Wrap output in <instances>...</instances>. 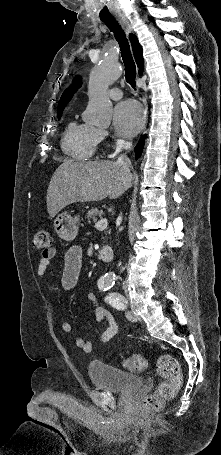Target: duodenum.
<instances>
[{
    "label": "duodenum",
    "mask_w": 221,
    "mask_h": 455,
    "mask_svg": "<svg viewBox=\"0 0 221 455\" xmlns=\"http://www.w3.org/2000/svg\"><path fill=\"white\" fill-rule=\"evenodd\" d=\"M99 256L100 258L105 261V262H109L112 260L113 258V250L110 246H102L100 249H99Z\"/></svg>",
    "instance_id": "obj_1"
}]
</instances>
